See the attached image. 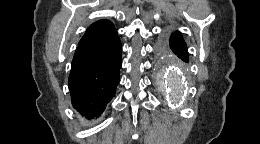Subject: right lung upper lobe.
<instances>
[{
  "mask_svg": "<svg viewBox=\"0 0 260 144\" xmlns=\"http://www.w3.org/2000/svg\"><path fill=\"white\" fill-rule=\"evenodd\" d=\"M117 34L114 25L108 20H99L87 28L85 34L79 41L80 44L93 42L112 37Z\"/></svg>",
  "mask_w": 260,
  "mask_h": 144,
  "instance_id": "right-lung-upper-lobe-1",
  "label": "right lung upper lobe"
}]
</instances>
